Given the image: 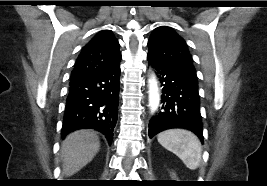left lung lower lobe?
I'll list each match as a JSON object with an SVG mask.
<instances>
[{
	"instance_id": "0a47b994",
	"label": "left lung lower lobe",
	"mask_w": 267,
	"mask_h": 186,
	"mask_svg": "<svg viewBox=\"0 0 267 186\" xmlns=\"http://www.w3.org/2000/svg\"><path fill=\"white\" fill-rule=\"evenodd\" d=\"M147 59L163 86V104L150 120L149 137L167 129L183 128L194 132L203 141L198 82L149 57Z\"/></svg>"
}]
</instances>
